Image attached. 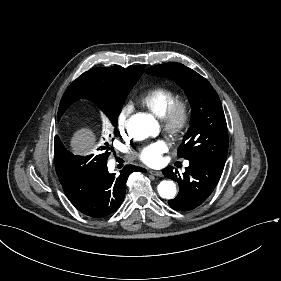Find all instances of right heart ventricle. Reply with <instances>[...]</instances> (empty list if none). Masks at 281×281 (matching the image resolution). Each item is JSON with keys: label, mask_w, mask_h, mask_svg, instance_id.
<instances>
[{"label": "right heart ventricle", "mask_w": 281, "mask_h": 281, "mask_svg": "<svg viewBox=\"0 0 281 281\" xmlns=\"http://www.w3.org/2000/svg\"><path fill=\"white\" fill-rule=\"evenodd\" d=\"M177 99H179L177 91L169 87L159 86L144 92L139 98V104L161 118L168 107Z\"/></svg>", "instance_id": "e07e8e85"}]
</instances>
